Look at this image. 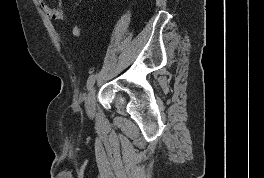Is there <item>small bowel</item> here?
<instances>
[{"label": "small bowel", "mask_w": 264, "mask_h": 178, "mask_svg": "<svg viewBox=\"0 0 264 178\" xmlns=\"http://www.w3.org/2000/svg\"><path fill=\"white\" fill-rule=\"evenodd\" d=\"M58 1H59L58 6L55 8L50 6V4L48 3V0H38V3L40 7L42 8L43 12L47 16H49L51 19H54L60 22H66L67 17L62 7L63 0H58ZM72 34L74 36H80L82 34V28L79 25H74L72 27Z\"/></svg>", "instance_id": "1"}]
</instances>
